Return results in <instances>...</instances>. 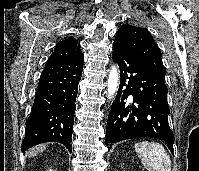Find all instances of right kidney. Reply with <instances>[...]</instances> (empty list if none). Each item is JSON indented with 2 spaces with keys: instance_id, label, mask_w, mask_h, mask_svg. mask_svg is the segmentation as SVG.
I'll return each mask as SVG.
<instances>
[{
  "instance_id": "1",
  "label": "right kidney",
  "mask_w": 199,
  "mask_h": 171,
  "mask_svg": "<svg viewBox=\"0 0 199 171\" xmlns=\"http://www.w3.org/2000/svg\"><path fill=\"white\" fill-rule=\"evenodd\" d=\"M48 171H54V170L50 169V170H48Z\"/></svg>"
}]
</instances>
